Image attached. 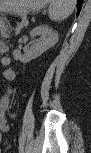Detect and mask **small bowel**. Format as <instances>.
<instances>
[{"instance_id":"1","label":"small bowel","mask_w":91,"mask_h":153,"mask_svg":"<svg viewBox=\"0 0 91 153\" xmlns=\"http://www.w3.org/2000/svg\"><path fill=\"white\" fill-rule=\"evenodd\" d=\"M8 104H9V98L8 97L2 98L1 107H2L3 110H5L8 107ZM1 130L3 132H7L9 130V126H8V124H7L5 119H3L1 121Z\"/></svg>"}]
</instances>
